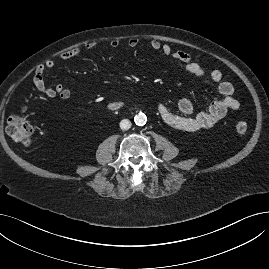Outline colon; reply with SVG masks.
Instances as JSON below:
<instances>
[{
	"mask_svg": "<svg viewBox=\"0 0 269 269\" xmlns=\"http://www.w3.org/2000/svg\"><path fill=\"white\" fill-rule=\"evenodd\" d=\"M25 111L26 108H23L22 112L24 113ZM235 130L238 135L245 136L248 125L244 120H239L236 122ZM6 132L14 141L27 146L31 142L35 126L26 122L21 115L13 114L7 120Z\"/></svg>",
	"mask_w": 269,
	"mask_h": 269,
	"instance_id": "colon-1",
	"label": "colon"
}]
</instances>
